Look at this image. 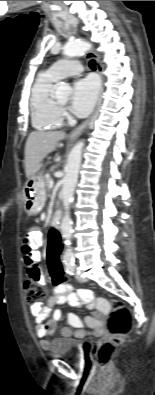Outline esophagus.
<instances>
[{
  "label": "esophagus",
  "instance_id": "obj_1",
  "mask_svg": "<svg viewBox=\"0 0 155 395\" xmlns=\"http://www.w3.org/2000/svg\"><path fill=\"white\" fill-rule=\"evenodd\" d=\"M87 55H88L90 58H92V59L95 60L97 72L99 73V75H100V77H101L102 87H101V90H100V95H99V97H98L97 106H96L95 111L93 112V114H92L85 122H83L79 127H77L76 129H74V130L69 134V139H76V138L81 134V132L88 126V124L90 123V121L92 120V118H93V117L95 116V114H96L98 105H99L100 100H101V93H102V91H103L104 76H103V68H102V65H101V63H100V61H99V58H98V56H97L93 51H89V52L87 53Z\"/></svg>",
  "mask_w": 155,
  "mask_h": 395
}]
</instances>
